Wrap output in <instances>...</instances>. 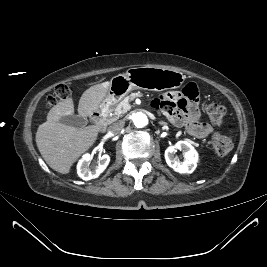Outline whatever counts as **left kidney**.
Here are the masks:
<instances>
[{
  "mask_svg": "<svg viewBox=\"0 0 267 267\" xmlns=\"http://www.w3.org/2000/svg\"><path fill=\"white\" fill-rule=\"evenodd\" d=\"M177 149L184 155L182 163L174 155ZM165 160L168 166L178 173H192L197 166L198 153L188 141H178L165 150Z\"/></svg>",
  "mask_w": 267,
  "mask_h": 267,
  "instance_id": "5707ae66",
  "label": "left kidney"
}]
</instances>
